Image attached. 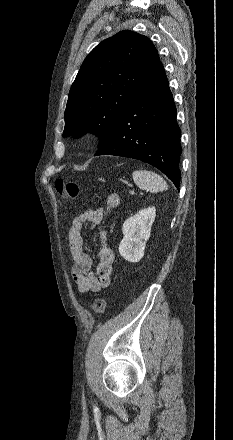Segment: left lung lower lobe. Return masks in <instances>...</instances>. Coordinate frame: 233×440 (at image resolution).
Instances as JSON below:
<instances>
[{"label":"left lung lower lobe","mask_w":233,"mask_h":440,"mask_svg":"<svg viewBox=\"0 0 233 440\" xmlns=\"http://www.w3.org/2000/svg\"><path fill=\"white\" fill-rule=\"evenodd\" d=\"M176 107L162 63L122 112L111 137L96 152L149 163L160 169L178 188L181 130Z\"/></svg>","instance_id":"1"}]
</instances>
